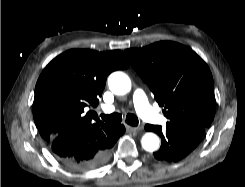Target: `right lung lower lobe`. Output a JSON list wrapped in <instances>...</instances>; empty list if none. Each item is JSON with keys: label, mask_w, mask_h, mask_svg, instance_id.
Returning a JSON list of instances; mask_svg holds the SVG:
<instances>
[{"label": "right lung lower lobe", "mask_w": 245, "mask_h": 187, "mask_svg": "<svg viewBox=\"0 0 245 187\" xmlns=\"http://www.w3.org/2000/svg\"><path fill=\"white\" fill-rule=\"evenodd\" d=\"M124 132L123 125L93 124L58 135L48 144L63 165L73 170L88 171L108 161L111 148Z\"/></svg>", "instance_id": "right-lung-lower-lobe-1"}]
</instances>
